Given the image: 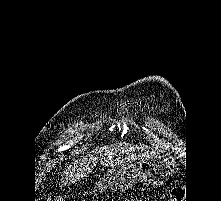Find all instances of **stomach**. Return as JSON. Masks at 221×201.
I'll use <instances>...</instances> for the list:
<instances>
[{
  "instance_id": "1",
  "label": "stomach",
  "mask_w": 221,
  "mask_h": 201,
  "mask_svg": "<svg viewBox=\"0 0 221 201\" xmlns=\"http://www.w3.org/2000/svg\"><path fill=\"white\" fill-rule=\"evenodd\" d=\"M176 170L175 159L168 154H151L139 159L137 165L113 167L99 179L94 191L110 190L123 193L137 182L158 186L166 182Z\"/></svg>"
}]
</instances>
